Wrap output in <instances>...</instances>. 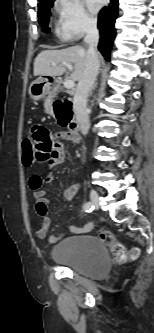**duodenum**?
Here are the masks:
<instances>
[{"instance_id": "obj_1", "label": "duodenum", "mask_w": 154, "mask_h": 333, "mask_svg": "<svg viewBox=\"0 0 154 333\" xmlns=\"http://www.w3.org/2000/svg\"><path fill=\"white\" fill-rule=\"evenodd\" d=\"M54 84V83H53ZM58 114V113H57ZM59 115V114H58ZM71 128H72V135H74V136H78V134H79V123L76 121V120H74V121H72L71 122Z\"/></svg>"}]
</instances>
